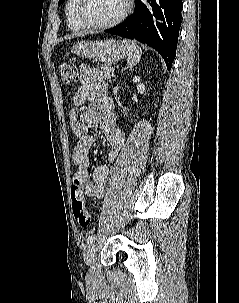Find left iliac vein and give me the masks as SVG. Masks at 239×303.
I'll list each match as a JSON object with an SVG mask.
<instances>
[{"label":"left iliac vein","mask_w":239,"mask_h":303,"mask_svg":"<svg viewBox=\"0 0 239 303\" xmlns=\"http://www.w3.org/2000/svg\"><path fill=\"white\" fill-rule=\"evenodd\" d=\"M96 251H97V248L95 246V244H92L89 246L86 254H85V262L87 265H91L95 256H96Z\"/></svg>","instance_id":"1"}]
</instances>
